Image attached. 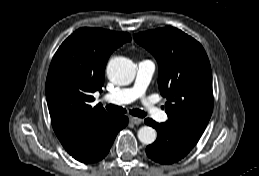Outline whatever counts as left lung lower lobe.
I'll use <instances>...</instances> for the list:
<instances>
[{"label": "left lung lower lobe", "instance_id": "obj_1", "mask_svg": "<svg viewBox=\"0 0 259 176\" xmlns=\"http://www.w3.org/2000/svg\"><path fill=\"white\" fill-rule=\"evenodd\" d=\"M145 123L158 132L156 141L147 146L146 154L149 158L161 164H172L181 160L200 139L199 136L175 129L166 122L159 124L148 118Z\"/></svg>", "mask_w": 259, "mask_h": 176}]
</instances>
